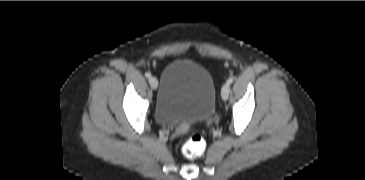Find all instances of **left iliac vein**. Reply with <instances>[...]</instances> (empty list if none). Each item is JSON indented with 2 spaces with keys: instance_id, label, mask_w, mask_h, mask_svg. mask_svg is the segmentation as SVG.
<instances>
[{
  "instance_id": "4c4485c4",
  "label": "left iliac vein",
  "mask_w": 365,
  "mask_h": 180,
  "mask_svg": "<svg viewBox=\"0 0 365 180\" xmlns=\"http://www.w3.org/2000/svg\"><path fill=\"white\" fill-rule=\"evenodd\" d=\"M229 93H230V84L227 82L222 86L221 89V98L223 101H226L228 99Z\"/></svg>"
}]
</instances>
